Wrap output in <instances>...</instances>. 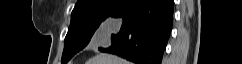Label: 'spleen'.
<instances>
[{
  "instance_id": "spleen-1",
  "label": "spleen",
  "mask_w": 242,
  "mask_h": 64,
  "mask_svg": "<svg viewBox=\"0 0 242 64\" xmlns=\"http://www.w3.org/2000/svg\"><path fill=\"white\" fill-rule=\"evenodd\" d=\"M86 64H132L125 59L117 57L115 55H108V54H99L89 61Z\"/></svg>"
}]
</instances>
